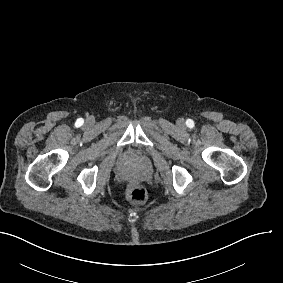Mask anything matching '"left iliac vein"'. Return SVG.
Listing matches in <instances>:
<instances>
[{"mask_svg": "<svg viewBox=\"0 0 283 283\" xmlns=\"http://www.w3.org/2000/svg\"><path fill=\"white\" fill-rule=\"evenodd\" d=\"M183 123H184L183 121H180V122H179V125L181 126Z\"/></svg>", "mask_w": 283, "mask_h": 283, "instance_id": "1", "label": "left iliac vein"}]
</instances>
